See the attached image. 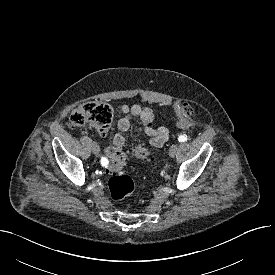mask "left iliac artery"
<instances>
[{
	"label": "left iliac artery",
	"instance_id": "44dca946",
	"mask_svg": "<svg viewBox=\"0 0 275 275\" xmlns=\"http://www.w3.org/2000/svg\"><path fill=\"white\" fill-rule=\"evenodd\" d=\"M179 142H186L188 140L186 135H180L178 137Z\"/></svg>",
	"mask_w": 275,
	"mask_h": 275
}]
</instances>
